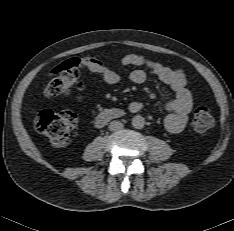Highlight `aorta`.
Returning a JSON list of instances; mask_svg holds the SVG:
<instances>
[{
    "instance_id": "1",
    "label": "aorta",
    "mask_w": 234,
    "mask_h": 231,
    "mask_svg": "<svg viewBox=\"0 0 234 231\" xmlns=\"http://www.w3.org/2000/svg\"><path fill=\"white\" fill-rule=\"evenodd\" d=\"M145 119L141 115H136L132 118V126L136 129L144 127Z\"/></svg>"
}]
</instances>
